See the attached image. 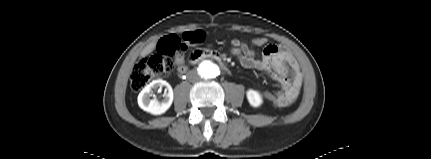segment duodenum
<instances>
[{
	"mask_svg": "<svg viewBox=\"0 0 431 159\" xmlns=\"http://www.w3.org/2000/svg\"><path fill=\"white\" fill-rule=\"evenodd\" d=\"M204 59H214L218 61L223 67L226 66L224 58L219 53L212 50H195L189 57V61L192 64H195Z\"/></svg>",
	"mask_w": 431,
	"mask_h": 159,
	"instance_id": "duodenum-1",
	"label": "duodenum"
}]
</instances>
